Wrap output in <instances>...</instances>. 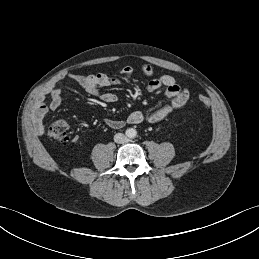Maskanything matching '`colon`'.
<instances>
[{
  "mask_svg": "<svg viewBox=\"0 0 259 259\" xmlns=\"http://www.w3.org/2000/svg\"><path fill=\"white\" fill-rule=\"evenodd\" d=\"M198 100L203 108L208 109L210 107L207 97L200 96ZM48 135L63 144H67L70 141L69 125L63 120L56 121L49 126Z\"/></svg>",
  "mask_w": 259,
  "mask_h": 259,
  "instance_id": "colon-1",
  "label": "colon"
}]
</instances>
